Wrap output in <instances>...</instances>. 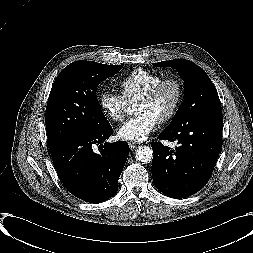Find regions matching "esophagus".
Instances as JSON below:
<instances>
[{
    "label": "esophagus",
    "mask_w": 253,
    "mask_h": 253,
    "mask_svg": "<svg viewBox=\"0 0 253 253\" xmlns=\"http://www.w3.org/2000/svg\"><path fill=\"white\" fill-rule=\"evenodd\" d=\"M138 146H139V143H135L133 141L129 142V147H130L131 150L137 148Z\"/></svg>",
    "instance_id": "1"
}]
</instances>
